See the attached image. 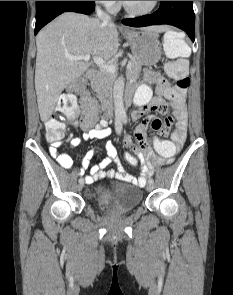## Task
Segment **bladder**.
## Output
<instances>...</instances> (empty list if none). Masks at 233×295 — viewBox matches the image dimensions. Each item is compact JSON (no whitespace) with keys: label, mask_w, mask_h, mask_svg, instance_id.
<instances>
[{"label":"bladder","mask_w":233,"mask_h":295,"mask_svg":"<svg viewBox=\"0 0 233 295\" xmlns=\"http://www.w3.org/2000/svg\"><path fill=\"white\" fill-rule=\"evenodd\" d=\"M109 191L116 197L115 202L109 204L112 212H126L137 207L142 200V191L135 186L125 183H111Z\"/></svg>","instance_id":"31cf9c89"}]
</instances>
